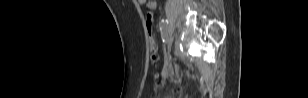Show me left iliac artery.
Listing matches in <instances>:
<instances>
[{"label":"left iliac artery","instance_id":"1","mask_svg":"<svg viewBox=\"0 0 308 98\" xmlns=\"http://www.w3.org/2000/svg\"><path fill=\"white\" fill-rule=\"evenodd\" d=\"M167 27H168V21L162 19L161 22H160V29H161V30H166Z\"/></svg>","mask_w":308,"mask_h":98}]
</instances>
